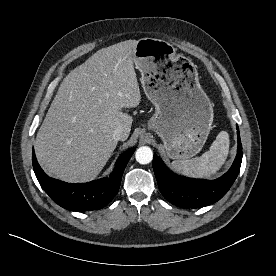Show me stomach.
<instances>
[{"instance_id":"obj_1","label":"stomach","mask_w":276,"mask_h":276,"mask_svg":"<svg viewBox=\"0 0 276 276\" xmlns=\"http://www.w3.org/2000/svg\"><path fill=\"white\" fill-rule=\"evenodd\" d=\"M147 98L155 106L148 126L162 139L171 159L200 152L213 122V106L199 83L197 66L172 44L155 38L137 41L133 55Z\"/></svg>"}]
</instances>
